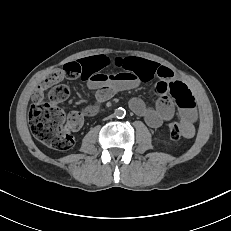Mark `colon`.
<instances>
[{"label": "colon", "instance_id": "5ec220e1", "mask_svg": "<svg viewBox=\"0 0 231 231\" xmlns=\"http://www.w3.org/2000/svg\"><path fill=\"white\" fill-rule=\"evenodd\" d=\"M66 77L75 78L81 73L76 63H68L63 67ZM70 89L65 84H56L48 91L49 102L33 100L29 110V124L33 135L48 147L66 151L72 148L74 140L70 131L83 122V116L78 112L65 115L57 103L66 100ZM169 134L173 140H178L183 135V127L179 122L169 125Z\"/></svg>", "mask_w": 231, "mask_h": 231}]
</instances>
